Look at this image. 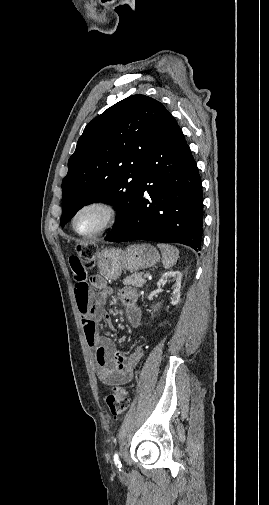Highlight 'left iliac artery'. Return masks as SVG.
I'll list each match as a JSON object with an SVG mask.
<instances>
[{
    "instance_id": "left-iliac-artery-1",
    "label": "left iliac artery",
    "mask_w": 269,
    "mask_h": 505,
    "mask_svg": "<svg viewBox=\"0 0 269 505\" xmlns=\"http://www.w3.org/2000/svg\"><path fill=\"white\" fill-rule=\"evenodd\" d=\"M113 458H114V463H115L116 467H117L119 470H121L122 465H121V462H120V460H119V455H118V453H115Z\"/></svg>"
}]
</instances>
